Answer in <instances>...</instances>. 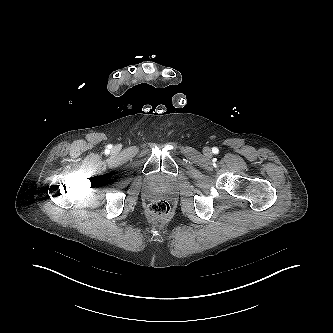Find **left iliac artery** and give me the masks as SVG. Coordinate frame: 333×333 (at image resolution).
<instances>
[{"mask_svg":"<svg viewBox=\"0 0 333 333\" xmlns=\"http://www.w3.org/2000/svg\"><path fill=\"white\" fill-rule=\"evenodd\" d=\"M212 152H213L214 154H217V153L219 152V150H218V148L214 147V148L212 149Z\"/></svg>","mask_w":333,"mask_h":333,"instance_id":"44dca946","label":"left iliac artery"}]
</instances>
